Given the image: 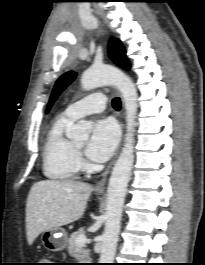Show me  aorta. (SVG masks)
<instances>
[{
  "label": "aorta",
  "instance_id": "aorta-1",
  "mask_svg": "<svg viewBox=\"0 0 205 265\" xmlns=\"http://www.w3.org/2000/svg\"><path fill=\"white\" fill-rule=\"evenodd\" d=\"M113 85L122 94L126 110V135L122 151L113 167L107 190L105 229L99 263H113L121 227V217L127 185L134 162V126L138 108V94L133 81L113 66L103 65L87 69L81 77L84 90ZM91 125L79 121L70 131L69 138L86 140Z\"/></svg>",
  "mask_w": 205,
  "mask_h": 265
}]
</instances>
